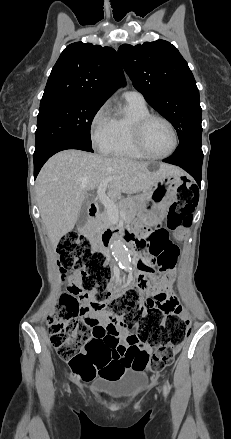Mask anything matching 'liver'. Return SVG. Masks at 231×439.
<instances>
[{"label": "liver", "mask_w": 231, "mask_h": 439, "mask_svg": "<svg viewBox=\"0 0 231 439\" xmlns=\"http://www.w3.org/2000/svg\"><path fill=\"white\" fill-rule=\"evenodd\" d=\"M183 172L160 163L156 171L148 164L127 158H108L80 150H65L51 157L36 180V197L43 224L55 248L79 217L86 190L99 187L106 178L108 195L146 192L160 179Z\"/></svg>", "instance_id": "1"}]
</instances>
